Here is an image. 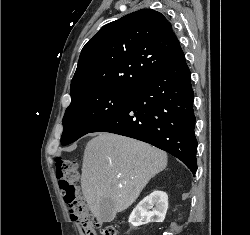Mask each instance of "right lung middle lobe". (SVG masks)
I'll return each instance as SVG.
<instances>
[{"instance_id":"dd1d6c3e","label":"right lung middle lobe","mask_w":250,"mask_h":235,"mask_svg":"<svg viewBox=\"0 0 250 235\" xmlns=\"http://www.w3.org/2000/svg\"><path fill=\"white\" fill-rule=\"evenodd\" d=\"M134 90H96L71 101L63 117L61 144L68 145L115 114Z\"/></svg>"}]
</instances>
